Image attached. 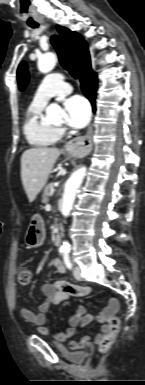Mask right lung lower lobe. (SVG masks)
Wrapping results in <instances>:
<instances>
[{
  "label": "right lung lower lobe",
  "instance_id": "1",
  "mask_svg": "<svg viewBox=\"0 0 145 385\" xmlns=\"http://www.w3.org/2000/svg\"><path fill=\"white\" fill-rule=\"evenodd\" d=\"M81 88L84 95L89 99L92 104L93 111L96 110L95 107V98L97 90V76L96 73L92 70L91 66L83 70L80 74Z\"/></svg>",
  "mask_w": 145,
  "mask_h": 385
}]
</instances>
